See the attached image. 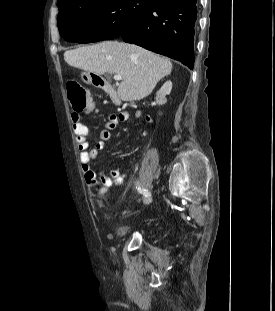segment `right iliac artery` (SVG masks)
Wrapping results in <instances>:
<instances>
[{
  "mask_svg": "<svg viewBox=\"0 0 275 311\" xmlns=\"http://www.w3.org/2000/svg\"><path fill=\"white\" fill-rule=\"evenodd\" d=\"M136 188L139 191V193L143 194L145 196V198L150 197V192L146 189H143L138 182H136Z\"/></svg>",
  "mask_w": 275,
  "mask_h": 311,
  "instance_id": "1",
  "label": "right iliac artery"
}]
</instances>
